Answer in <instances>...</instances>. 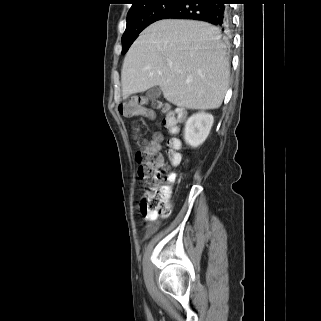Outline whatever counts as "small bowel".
Instances as JSON below:
<instances>
[{"label":"small bowel","mask_w":321,"mask_h":321,"mask_svg":"<svg viewBox=\"0 0 321 321\" xmlns=\"http://www.w3.org/2000/svg\"><path fill=\"white\" fill-rule=\"evenodd\" d=\"M157 148L159 149V146L157 144ZM161 158L163 159L162 155L160 154ZM169 181L171 183H174L176 181V175L175 174H170L169 175ZM147 221H151V222H154L156 223L157 222V217H147L145 218ZM148 230L151 232L154 230V226L153 225H148Z\"/></svg>","instance_id":"c3829d8e"}]
</instances>
